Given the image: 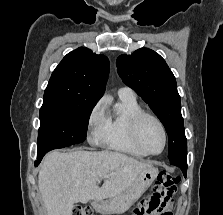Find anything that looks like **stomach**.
Segmentation results:
<instances>
[{"label": "stomach", "mask_w": 223, "mask_h": 215, "mask_svg": "<svg viewBox=\"0 0 223 215\" xmlns=\"http://www.w3.org/2000/svg\"><path fill=\"white\" fill-rule=\"evenodd\" d=\"M157 175V167H146V169H142L131 187L123 191V193L116 195V199H108L107 202L94 201L93 205L96 211L104 213V215H108V213H123V211L129 209L130 205H132L134 201H137L140 195L152 185Z\"/></svg>", "instance_id": "obj_1"}]
</instances>
